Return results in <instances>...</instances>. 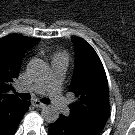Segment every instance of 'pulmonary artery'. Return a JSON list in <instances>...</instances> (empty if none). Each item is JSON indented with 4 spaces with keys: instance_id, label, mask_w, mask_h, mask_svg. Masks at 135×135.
Returning <instances> with one entry per match:
<instances>
[{
    "instance_id": "obj_1",
    "label": "pulmonary artery",
    "mask_w": 135,
    "mask_h": 135,
    "mask_svg": "<svg viewBox=\"0 0 135 135\" xmlns=\"http://www.w3.org/2000/svg\"><path fill=\"white\" fill-rule=\"evenodd\" d=\"M65 71L66 62H53L51 74L43 82L30 85L25 90L35 94L48 93L55 107L61 112H65L67 110V106L61 95Z\"/></svg>"
}]
</instances>
